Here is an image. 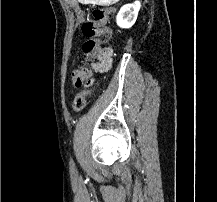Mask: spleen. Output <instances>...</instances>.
Listing matches in <instances>:
<instances>
[{"mask_svg": "<svg viewBox=\"0 0 217 202\" xmlns=\"http://www.w3.org/2000/svg\"><path fill=\"white\" fill-rule=\"evenodd\" d=\"M86 5H97V7H106V5H117V0H83Z\"/></svg>", "mask_w": 217, "mask_h": 202, "instance_id": "obj_1", "label": "spleen"}]
</instances>
